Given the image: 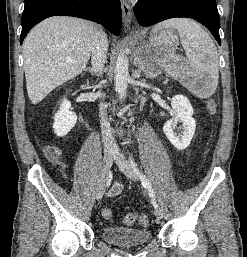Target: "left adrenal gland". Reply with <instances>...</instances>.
Returning <instances> with one entry per match:
<instances>
[{"instance_id":"a2214340","label":"left adrenal gland","mask_w":247,"mask_h":257,"mask_svg":"<svg viewBox=\"0 0 247 257\" xmlns=\"http://www.w3.org/2000/svg\"><path fill=\"white\" fill-rule=\"evenodd\" d=\"M160 74H161V72L159 70H157L156 72L151 71V72L147 73V77L150 79H153V78L158 77V75H160Z\"/></svg>"}]
</instances>
